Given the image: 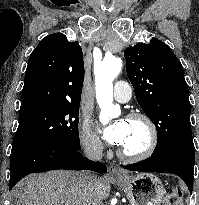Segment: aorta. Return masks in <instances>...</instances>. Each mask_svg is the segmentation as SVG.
Instances as JSON below:
<instances>
[{
  "instance_id": "762f6f07",
  "label": "aorta",
  "mask_w": 199,
  "mask_h": 205,
  "mask_svg": "<svg viewBox=\"0 0 199 205\" xmlns=\"http://www.w3.org/2000/svg\"><path fill=\"white\" fill-rule=\"evenodd\" d=\"M122 68V60L116 56L105 57L95 66L96 99L101 107L100 121L106 123L113 115L120 113V109L113 105V80Z\"/></svg>"
}]
</instances>
